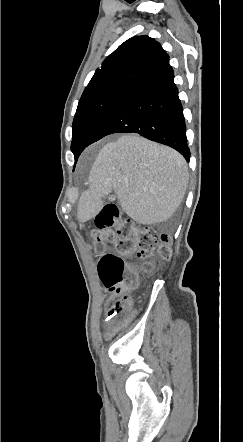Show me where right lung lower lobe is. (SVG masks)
<instances>
[{"label":"right lung lower lobe","instance_id":"obj_1","mask_svg":"<svg viewBox=\"0 0 243 442\" xmlns=\"http://www.w3.org/2000/svg\"><path fill=\"white\" fill-rule=\"evenodd\" d=\"M173 79L170 67L132 90L106 116L88 145L113 133H137L174 148L189 161L185 118Z\"/></svg>","mask_w":243,"mask_h":442}]
</instances>
